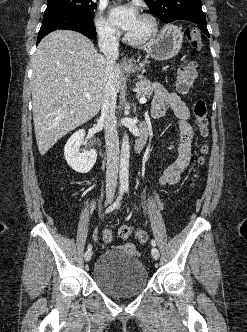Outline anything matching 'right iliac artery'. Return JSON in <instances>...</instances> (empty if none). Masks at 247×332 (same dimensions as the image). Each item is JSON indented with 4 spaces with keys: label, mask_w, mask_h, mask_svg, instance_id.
<instances>
[{
    "label": "right iliac artery",
    "mask_w": 247,
    "mask_h": 332,
    "mask_svg": "<svg viewBox=\"0 0 247 332\" xmlns=\"http://www.w3.org/2000/svg\"><path fill=\"white\" fill-rule=\"evenodd\" d=\"M122 196H123V191H120L119 195H118V197L116 199V201L106 209L105 213H110L114 209L118 208L120 206V204H121ZM87 249H88V251L91 250L92 249V245L89 244L88 247H87Z\"/></svg>",
    "instance_id": "82829eb1"
}]
</instances>
